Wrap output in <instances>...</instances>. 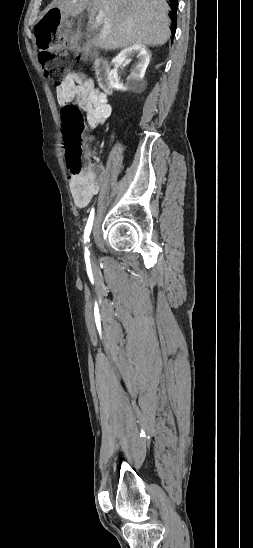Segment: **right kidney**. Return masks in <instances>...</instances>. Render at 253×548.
Returning a JSON list of instances; mask_svg holds the SVG:
<instances>
[{
  "mask_svg": "<svg viewBox=\"0 0 253 548\" xmlns=\"http://www.w3.org/2000/svg\"><path fill=\"white\" fill-rule=\"evenodd\" d=\"M134 55L138 58V63L126 82L121 83L117 73L118 68L129 64L131 61L130 57ZM150 58V51H148L146 47L141 44H134L122 50L112 61L115 68L110 71L108 76L110 85L116 90L121 91H127L130 89L143 91L145 89V82L143 78L150 62Z\"/></svg>",
  "mask_w": 253,
  "mask_h": 548,
  "instance_id": "right-kidney-1",
  "label": "right kidney"
}]
</instances>
